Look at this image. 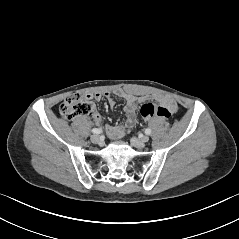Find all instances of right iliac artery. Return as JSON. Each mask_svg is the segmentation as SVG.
I'll return each mask as SVG.
<instances>
[{
    "label": "right iliac artery",
    "mask_w": 239,
    "mask_h": 239,
    "mask_svg": "<svg viewBox=\"0 0 239 239\" xmlns=\"http://www.w3.org/2000/svg\"><path fill=\"white\" fill-rule=\"evenodd\" d=\"M92 133H94V134H100V133H102V129L94 128V129H92Z\"/></svg>",
    "instance_id": "82829eb1"
}]
</instances>
